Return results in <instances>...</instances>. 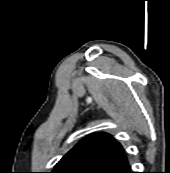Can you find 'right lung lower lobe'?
<instances>
[{
	"mask_svg": "<svg viewBox=\"0 0 170 173\" xmlns=\"http://www.w3.org/2000/svg\"><path fill=\"white\" fill-rule=\"evenodd\" d=\"M105 173H133V172H131L129 163L128 161H126L122 164H119L115 167L108 169L107 171H105Z\"/></svg>",
	"mask_w": 170,
	"mask_h": 173,
	"instance_id": "1",
	"label": "right lung lower lobe"
}]
</instances>
